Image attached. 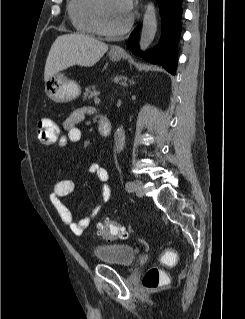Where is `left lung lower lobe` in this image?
I'll list each match as a JSON object with an SVG mask.
<instances>
[{
  "instance_id": "obj_1",
  "label": "left lung lower lobe",
  "mask_w": 245,
  "mask_h": 319,
  "mask_svg": "<svg viewBox=\"0 0 245 319\" xmlns=\"http://www.w3.org/2000/svg\"><path fill=\"white\" fill-rule=\"evenodd\" d=\"M157 2L162 22L159 45L146 53H141L137 42V32L134 31L129 38L128 48L149 63L162 65L174 75L178 59L176 46L181 32L182 0H157Z\"/></svg>"
}]
</instances>
